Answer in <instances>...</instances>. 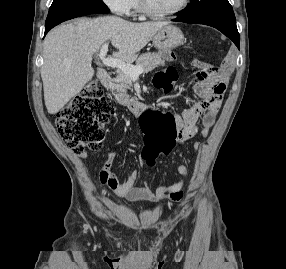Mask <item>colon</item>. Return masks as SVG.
I'll return each instance as SVG.
<instances>
[{"label": "colon", "instance_id": "5ec220e1", "mask_svg": "<svg viewBox=\"0 0 286 269\" xmlns=\"http://www.w3.org/2000/svg\"><path fill=\"white\" fill-rule=\"evenodd\" d=\"M174 49H157L162 62H178ZM196 72L197 83L192 88L209 93L222 95L223 83L221 70L226 65H210L206 61L194 59L190 62ZM177 72L174 67L156 74L157 86L171 90ZM113 107L106 99L103 88L89 83L80 93L56 116V126L62 140L76 153L82 154L85 148L98 149L105 137V128L110 122ZM139 128L143 131L145 142L141 155L146 158L149 166H154L156 159H166L181 138L174 121L173 111H164L161 106L145 108L143 116H139ZM182 193H179L181 197Z\"/></svg>", "mask_w": 286, "mask_h": 269}]
</instances>
